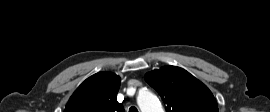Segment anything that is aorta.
<instances>
[{"mask_svg":"<svg viewBox=\"0 0 270 112\" xmlns=\"http://www.w3.org/2000/svg\"><path fill=\"white\" fill-rule=\"evenodd\" d=\"M137 103L142 112H164L158 98L149 90H141Z\"/></svg>","mask_w":270,"mask_h":112,"instance_id":"762f6f07","label":"aorta"}]
</instances>
